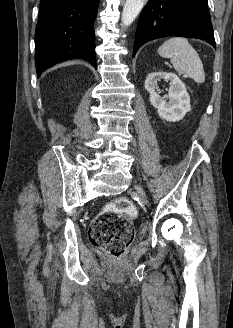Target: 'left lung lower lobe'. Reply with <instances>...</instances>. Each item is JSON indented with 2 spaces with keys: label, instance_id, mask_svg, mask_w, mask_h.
<instances>
[{
  "label": "left lung lower lobe",
  "instance_id": "1",
  "mask_svg": "<svg viewBox=\"0 0 233 328\" xmlns=\"http://www.w3.org/2000/svg\"><path fill=\"white\" fill-rule=\"evenodd\" d=\"M166 36L198 38L216 47L207 0H149L139 18L133 56L145 42Z\"/></svg>",
  "mask_w": 233,
  "mask_h": 328
}]
</instances>
